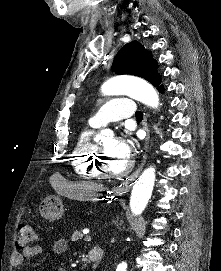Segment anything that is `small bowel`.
Masks as SVG:
<instances>
[{"label":"small bowel","mask_w":221,"mask_h":271,"mask_svg":"<svg viewBox=\"0 0 221 271\" xmlns=\"http://www.w3.org/2000/svg\"><path fill=\"white\" fill-rule=\"evenodd\" d=\"M67 249V241L64 238H58L53 243V251L55 254L60 255ZM42 253V247L39 245L31 246L24 249L23 252H15L11 257V265L13 267L20 266L24 259L33 258ZM58 271H65L64 268H60Z\"/></svg>","instance_id":"c3829d8e"}]
</instances>
